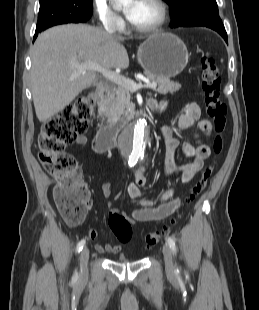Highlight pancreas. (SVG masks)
<instances>
[{
	"label": "pancreas",
	"mask_w": 259,
	"mask_h": 310,
	"mask_svg": "<svg viewBox=\"0 0 259 310\" xmlns=\"http://www.w3.org/2000/svg\"><path fill=\"white\" fill-rule=\"evenodd\" d=\"M151 82L158 84L155 89L157 93L166 95L174 93L181 88L179 83L170 81L169 79L154 77L146 74ZM134 110V104L131 102V91L122 87H114L113 92L107 97L106 100V113L108 123H116L118 121H125L130 118L131 112Z\"/></svg>",
	"instance_id": "pancreas-1"
}]
</instances>
